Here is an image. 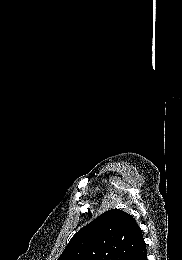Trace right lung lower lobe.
Wrapping results in <instances>:
<instances>
[{
  "label": "right lung lower lobe",
  "mask_w": 182,
  "mask_h": 260,
  "mask_svg": "<svg viewBox=\"0 0 182 260\" xmlns=\"http://www.w3.org/2000/svg\"><path fill=\"white\" fill-rule=\"evenodd\" d=\"M129 260H147L146 245L133 254Z\"/></svg>",
  "instance_id": "right-lung-lower-lobe-1"
}]
</instances>
